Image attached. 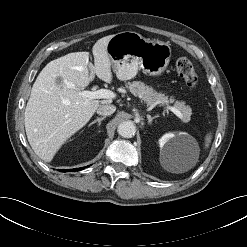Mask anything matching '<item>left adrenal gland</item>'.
Wrapping results in <instances>:
<instances>
[{
    "mask_svg": "<svg viewBox=\"0 0 247 247\" xmlns=\"http://www.w3.org/2000/svg\"><path fill=\"white\" fill-rule=\"evenodd\" d=\"M157 117H158V115H157V116H153V117H151L150 115H147L148 124H151L152 121H153L155 118H157Z\"/></svg>",
    "mask_w": 247,
    "mask_h": 247,
    "instance_id": "1",
    "label": "left adrenal gland"
}]
</instances>
